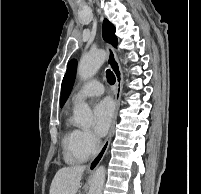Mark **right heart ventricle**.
Returning a JSON list of instances; mask_svg holds the SVG:
<instances>
[{
    "instance_id": "1",
    "label": "right heart ventricle",
    "mask_w": 201,
    "mask_h": 194,
    "mask_svg": "<svg viewBox=\"0 0 201 194\" xmlns=\"http://www.w3.org/2000/svg\"><path fill=\"white\" fill-rule=\"evenodd\" d=\"M78 134L79 130L67 121L62 143L65 152V159L71 164L84 162L91 155L90 152L80 148L78 144Z\"/></svg>"
}]
</instances>
